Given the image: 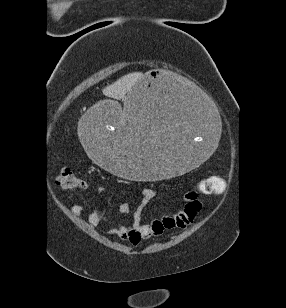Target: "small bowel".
Instances as JSON below:
<instances>
[{
    "instance_id": "obj_1",
    "label": "small bowel",
    "mask_w": 286,
    "mask_h": 308,
    "mask_svg": "<svg viewBox=\"0 0 286 308\" xmlns=\"http://www.w3.org/2000/svg\"><path fill=\"white\" fill-rule=\"evenodd\" d=\"M103 189H99V193H103ZM141 199L135 212L133 222L130 225H124L117 221L107 219L100 209L94 210L88 217L87 222L91 226L99 224H108L111 226L110 235L115 236L133 246L139 245L142 241L156 238L162 235L166 230L186 228L203 207V201L196 190H189L185 193L184 206L173 215H166L161 218H155L148 223L141 220L142 208L150 202L156 195L151 188H143L140 192ZM120 213H128L129 205L121 203L118 205ZM84 212L82 205H74L71 208L73 215H80Z\"/></svg>"
}]
</instances>
